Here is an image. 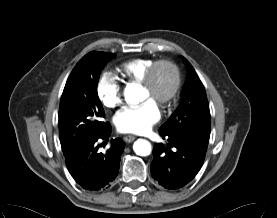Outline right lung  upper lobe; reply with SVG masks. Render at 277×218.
<instances>
[{
    "label": "right lung upper lobe",
    "instance_id": "right-lung-upper-lobe-1",
    "mask_svg": "<svg viewBox=\"0 0 277 218\" xmlns=\"http://www.w3.org/2000/svg\"><path fill=\"white\" fill-rule=\"evenodd\" d=\"M100 53H104V54H110V53H105V52H100Z\"/></svg>",
    "mask_w": 277,
    "mask_h": 218
}]
</instances>
